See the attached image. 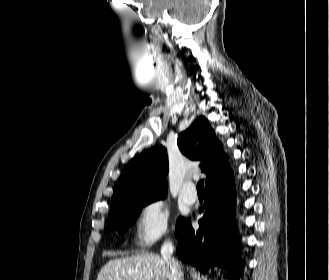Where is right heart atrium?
<instances>
[{
	"label": "right heart atrium",
	"instance_id": "obj_1",
	"mask_svg": "<svg viewBox=\"0 0 329 280\" xmlns=\"http://www.w3.org/2000/svg\"><path fill=\"white\" fill-rule=\"evenodd\" d=\"M170 233V209L162 199H153L139 210L137 218V240L140 245L150 247Z\"/></svg>",
	"mask_w": 329,
	"mask_h": 280
}]
</instances>
